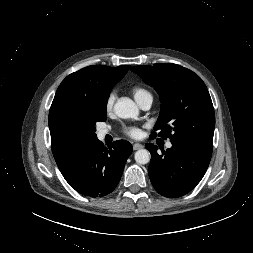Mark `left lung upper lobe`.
<instances>
[{"label":"left lung upper lobe","mask_w":253,"mask_h":253,"mask_svg":"<svg viewBox=\"0 0 253 253\" xmlns=\"http://www.w3.org/2000/svg\"><path fill=\"white\" fill-rule=\"evenodd\" d=\"M131 71L160 95L161 110L154 127L158 136L169 137L174 145L192 146L212 154L215 115L202 79L173 63L133 66Z\"/></svg>","instance_id":"left-lung-upper-lobe-1"}]
</instances>
